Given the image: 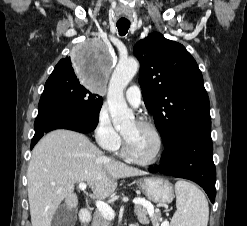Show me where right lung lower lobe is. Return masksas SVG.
Listing matches in <instances>:
<instances>
[{"label":"right lung lower lobe","instance_id":"98d812e1","mask_svg":"<svg viewBox=\"0 0 247 226\" xmlns=\"http://www.w3.org/2000/svg\"><path fill=\"white\" fill-rule=\"evenodd\" d=\"M99 118L74 108L72 105L52 96H41L34 128L31 149L47 132L54 129H69L80 133L93 131Z\"/></svg>","mask_w":247,"mask_h":226}]
</instances>
